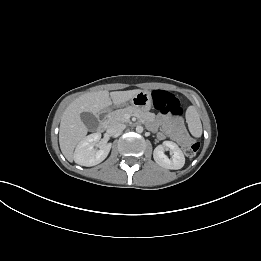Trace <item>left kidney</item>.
<instances>
[{"label":"left kidney","instance_id":"obj_1","mask_svg":"<svg viewBox=\"0 0 261 261\" xmlns=\"http://www.w3.org/2000/svg\"><path fill=\"white\" fill-rule=\"evenodd\" d=\"M164 148H169L173 153L172 158L164 154ZM155 162L167 169L178 170L185 164V157L178 145L172 141H164L162 145L157 146L153 152Z\"/></svg>","mask_w":261,"mask_h":261}]
</instances>
